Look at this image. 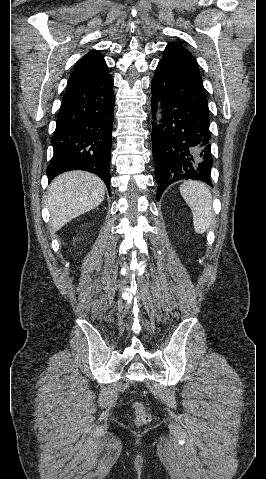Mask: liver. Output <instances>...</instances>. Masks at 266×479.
<instances>
[{"mask_svg":"<svg viewBox=\"0 0 266 479\" xmlns=\"http://www.w3.org/2000/svg\"><path fill=\"white\" fill-rule=\"evenodd\" d=\"M104 196L105 185L94 174L70 171L56 177L49 186L47 198L52 232L96 208Z\"/></svg>","mask_w":266,"mask_h":479,"instance_id":"6515ba94","label":"liver"}]
</instances>
